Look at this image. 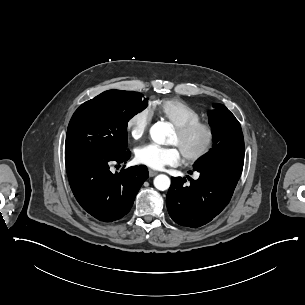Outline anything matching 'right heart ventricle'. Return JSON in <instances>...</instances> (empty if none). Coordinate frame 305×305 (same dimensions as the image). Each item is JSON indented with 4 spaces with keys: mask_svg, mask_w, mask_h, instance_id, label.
<instances>
[{
    "mask_svg": "<svg viewBox=\"0 0 305 305\" xmlns=\"http://www.w3.org/2000/svg\"><path fill=\"white\" fill-rule=\"evenodd\" d=\"M149 110L152 115L165 117L174 126L202 119L198 111L184 101L174 98L155 100L150 103Z\"/></svg>",
    "mask_w": 305,
    "mask_h": 305,
    "instance_id": "obj_1",
    "label": "right heart ventricle"
}]
</instances>
